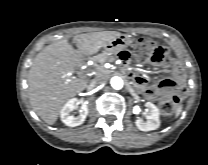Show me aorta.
<instances>
[{"label":"aorta","instance_id":"obj_1","mask_svg":"<svg viewBox=\"0 0 208 165\" xmlns=\"http://www.w3.org/2000/svg\"><path fill=\"white\" fill-rule=\"evenodd\" d=\"M110 83L111 86L116 90H119L123 87V80L118 76L112 77Z\"/></svg>","mask_w":208,"mask_h":165}]
</instances>
